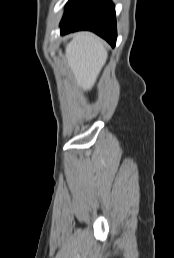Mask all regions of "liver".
Returning a JSON list of instances; mask_svg holds the SVG:
<instances>
[{
  "label": "liver",
  "mask_w": 174,
  "mask_h": 258,
  "mask_svg": "<svg viewBox=\"0 0 174 258\" xmlns=\"http://www.w3.org/2000/svg\"><path fill=\"white\" fill-rule=\"evenodd\" d=\"M65 56L77 85L88 91L94 86L108 54L99 37L91 32H79L66 45Z\"/></svg>",
  "instance_id": "liver-1"
}]
</instances>
